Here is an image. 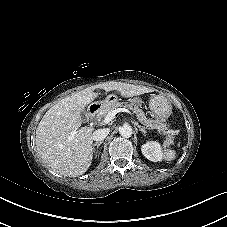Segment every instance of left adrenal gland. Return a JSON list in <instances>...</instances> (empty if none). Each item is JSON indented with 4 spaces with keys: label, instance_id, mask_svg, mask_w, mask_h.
Returning <instances> with one entry per match:
<instances>
[{
    "label": "left adrenal gland",
    "instance_id": "left-adrenal-gland-1",
    "mask_svg": "<svg viewBox=\"0 0 227 227\" xmlns=\"http://www.w3.org/2000/svg\"><path fill=\"white\" fill-rule=\"evenodd\" d=\"M136 126L138 127V129H139L144 135H146L147 132H146V128H145V127L139 125L138 123H136Z\"/></svg>",
    "mask_w": 227,
    "mask_h": 227
}]
</instances>
